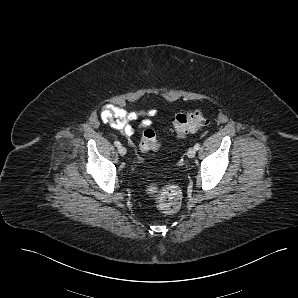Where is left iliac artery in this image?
<instances>
[{"label":"left iliac artery","mask_w":298,"mask_h":298,"mask_svg":"<svg viewBox=\"0 0 298 298\" xmlns=\"http://www.w3.org/2000/svg\"><path fill=\"white\" fill-rule=\"evenodd\" d=\"M194 148H195V150H199L200 149V144L199 143L195 144Z\"/></svg>","instance_id":"left-iliac-artery-1"}]
</instances>
